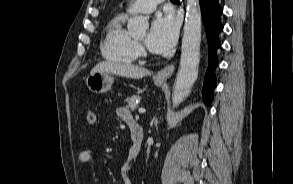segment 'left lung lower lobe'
Returning <instances> with one entry per match:
<instances>
[{"mask_svg":"<svg viewBox=\"0 0 293 184\" xmlns=\"http://www.w3.org/2000/svg\"><path fill=\"white\" fill-rule=\"evenodd\" d=\"M203 22L206 27L208 40L209 64L204 78L202 96L207 105L213 99V90L216 87L215 68L218 65L216 50L220 47L219 33L223 30L220 16L223 12L218 0H200Z\"/></svg>","mask_w":293,"mask_h":184,"instance_id":"left-lung-lower-lobe-1","label":"left lung lower lobe"}]
</instances>
